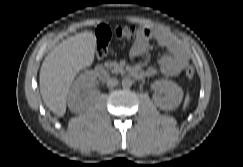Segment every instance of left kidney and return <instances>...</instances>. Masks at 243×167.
<instances>
[{
    "label": "left kidney",
    "instance_id": "1",
    "mask_svg": "<svg viewBox=\"0 0 243 167\" xmlns=\"http://www.w3.org/2000/svg\"><path fill=\"white\" fill-rule=\"evenodd\" d=\"M152 89L156 92H163L164 97L160 95L154 96L155 104L162 110L176 109L182 99L183 90L175 82L168 80H156L152 85Z\"/></svg>",
    "mask_w": 243,
    "mask_h": 167
}]
</instances>
